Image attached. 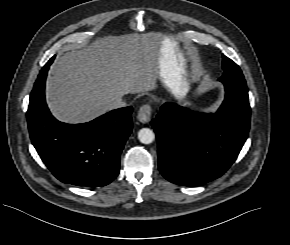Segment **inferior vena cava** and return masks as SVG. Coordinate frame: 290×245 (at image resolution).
<instances>
[{
	"instance_id": "602c4592",
	"label": "inferior vena cava",
	"mask_w": 290,
	"mask_h": 245,
	"mask_svg": "<svg viewBox=\"0 0 290 245\" xmlns=\"http://www.w3.org/2000/svg\"><path fill=\"white\" fill-rule=\"evenodd\" d=\"M126 105L127 103L123 100L122 97H118L112 102L113 108L125 107Z\"/></svg>"
}]
</instances>
